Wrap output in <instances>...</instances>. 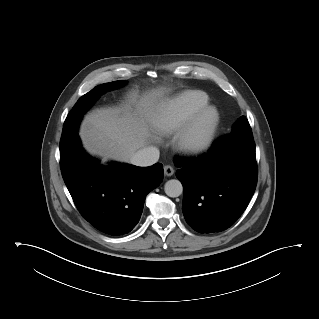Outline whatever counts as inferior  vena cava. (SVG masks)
<instances>
[{
    "mask_svg": "<svg viewBox=\"0 0 319 319\" xmlns=\"http://www.w3.org/2000/svg\"><path fill=\"white\" fill-rule=\"evenodd\" d=\"M160 152L153 146L144 147L138 150L130 159V163L136 166H150L159 159Z\"/></svg>",
    "mask_w": 319,
    "mask_h": 319,
    "instance_id": "602c4592",
    "label": "inferior vena cava"
}]
</instances>
